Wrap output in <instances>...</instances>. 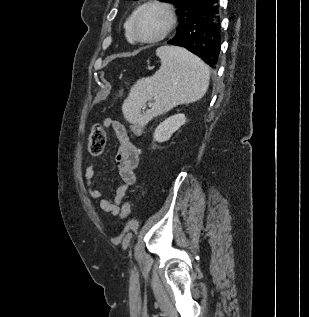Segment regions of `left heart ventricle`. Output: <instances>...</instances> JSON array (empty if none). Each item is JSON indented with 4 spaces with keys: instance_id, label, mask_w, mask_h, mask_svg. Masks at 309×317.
<instances>
[{
    "instance_id": "left-heart-ventricle-1",
    "label": "left heart ventricle",
    "mask_w": 309,
    "mask_h": 317,
    "mask_svg": "<svg viewBox=\"0 0 309 317\" xmlns=\"http://www.w3.org/2000/svg\"><path fill=\"white\" fill-rule=\"evenodd\" d=\"M166 25L165 14L156 8L145 10L139 17L137 28L144 38H152L162 32Z\"/></svg>"
}]
</instances>
